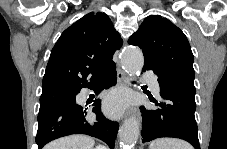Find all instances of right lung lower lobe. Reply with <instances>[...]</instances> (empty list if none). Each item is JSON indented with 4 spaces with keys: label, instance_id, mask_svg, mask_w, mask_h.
<instances>
[{
    "label": "right lung lower lobe",
    "instance_id": "1",
    "mask_svg": "<svg viewBox=\"0 0 227 149\" xmlns=\"http://www.w3.org/2000/svg\"><path fill=\"white\" fill-rule=\"evenodd\" d=\"M116 65L107 67L96 79L85 83L76 89V95L81 88L88 87L99 94L116 84ZM75 95V96H76ZM93 112L96 114L95 122L85 119L86 109L74 102H58L38 114V131L35 141L41 149L48 142L71 134H87L104 141L114 149L115 139L119 125L109 121L101 113V100L94 101Z\"/></svg>",
    "mask_w": 227,
    "mask_h": 149
}]
</instances>
